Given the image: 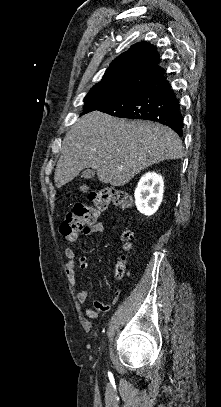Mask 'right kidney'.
<instances>
[{
	"instance_id": "1",
	"label": "right kidney",
	"mask_w": 221,
	"mask_h": 407,
	"mask_svg": "<svg viewBox=\"0 0 221 407\" xmlns=\"http://www.w3.org/2000/svg\"><path fill=\"white\" fill-rule=\"evenodd\" d=\"M164 193V182L156 172L144 174L135 189V204L138 211L146 216L153 215L159 208Z\"/></svg>"
}]
</instances>
